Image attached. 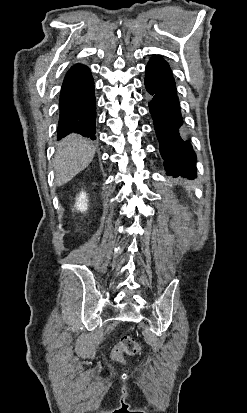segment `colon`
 Here are the masks:
<instances>
[{"mask_svg":"<svg viewBox=\"0 0 247 413\" xmlns=\"http://www.w3.org/2000/svg\"><path fill=\"white\" fill-rule=\"evenodd\" d=\"M112 358L120 359L122 355H144L146 348L135 339L125 336L120 342L112 344Z\"/></svg>","mask_w":247,"mask_h":413,"instance_id":"1","label":"colon"}]
</instances>
